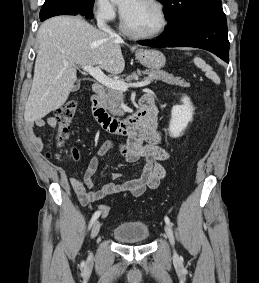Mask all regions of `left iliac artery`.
I'll return each instance as SVG.
<instances>
[{"label":"left iliac artery","mask_w":259,"mask_h":283,"mask_svg":"<svg viewBox=\"0 0 259 283\" xmlns=\"http://www.w3.org/2000/svg\"><path fill=\"white\" fill-rule=\"evenodd\" d=\"M164 219H165L166 224H168L169 226H172L170 219L167 216H165Z\"/></svg>","instance_id":"44dca946"}]
</instances>
